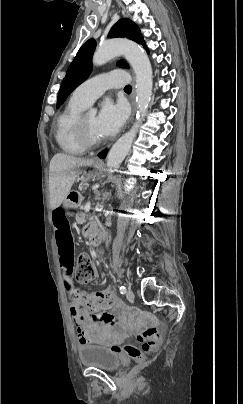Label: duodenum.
I'll return each mask as SVG.
<instances>
[{
    "label": "duodenum",
    "mask_w": 243,
    "mask_h": 404,
    "mask_svg": "<svg viewBox=\"0 0 243 404\" xmlns=\"http://www.w3.org/2000/svg\"><path fill=\"white\" fill-rule=\"evenodd\" d=\"M78 201V193L75 191H70L66 198H65V203L68 207L74 206ZM102 240V235L100 231L96 229H92L89 237V242L92 247H95L100 244Z\"/></svg>",
    "instance_id": "obj_1"
}]
</instances>
